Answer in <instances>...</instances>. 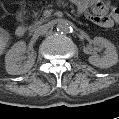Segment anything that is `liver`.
Returning <instances> with one entry per match:
<instances>
[{
  "label": "liver",
  "instance_id": "obj_1",
  "mask_svg": "<svg viewBox=\"0 0 119 119\" xmlns=\"http://www.w3.org/2000/svg\"><path fill=\"white\" fill-rule=\"evenodd\" d=\"M9 37L5 31L0 28V56L3 54L4 50L8 46Z\"/></svg>",
  "mask_w": 119,
  "mask_h": 119
}]
</instances>
